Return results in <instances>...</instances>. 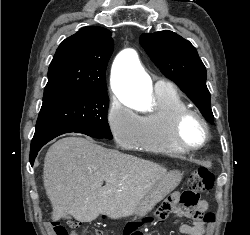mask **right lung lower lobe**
<instances>
[{
  "label": "right lung lower lobe",
  "instance_id": "right-lung-lower-lobe-1",
  "mask_svg": "<svg viewBox=\"0 0 250 235\" xmlns=\"http://www.w3.org/2000/svg\"><path fill=\"white\" fill-rule=\"evenodd\" d=\"M70 132H78V133H83L91 137L95 138H101L95 134L81 131L78 129H75L73 127L69 126H64V125H53V126H45L36 129L34 137L31 142V148H30V163L33 165L34 160L37 156L38 151L50 140L54 139L55 137L65 134V133H70Z\"/></svg>",
  "mask_w": 250,
  "mask_h": 235
}]
</instances>
